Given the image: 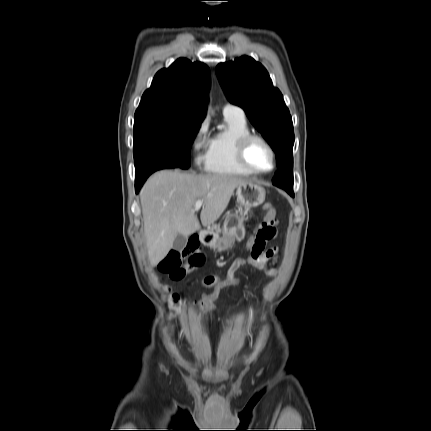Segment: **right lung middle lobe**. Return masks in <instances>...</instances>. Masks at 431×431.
<instances>
[{
	"label": "right lung middle lobe",
	"mask_w": 431,
	"mask_h": 431,
	"mask_svg": "<svg viewBox=\"0 0 431 431\" xmlns=\"http://www.w3.org/2000/svg\"><path fill=\"white\" fill-rule=\"evenodd\" d=\"M200 125V122L162 117L135 119L133 153L136 170L153 161L187 169L191 145Z\"/></svg>",
	"instance_id": "right-lung-middle-lobe-1"
}]
</instances>
